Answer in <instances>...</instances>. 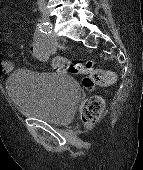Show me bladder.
<instances>
[{"instance_id": "1", "label": "bladder", "mask_w": 143, "mask_h": 170, "mask_svg": "<svg viewBox=\"0 0 143 170\" xmlns=\"http://www.w3.org/2000/svg\"><path fill=\"white\" fill-rule=\"evenodd\" d=\"M6 92L20 113L54 124L71 121L80 98L69 74L28 69L9 75Z\"/></svg>"}]
</instances>
